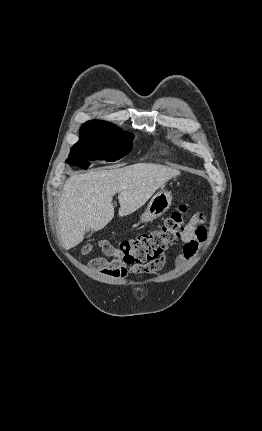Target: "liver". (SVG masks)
I'll return each instance as SVG.
<instances>
[{
  "label": "liver",
  "mask_w": 262,
  "mask_h": 431,
  "mask_svg": "<svg viewBox=\"0 0 262 431\" xmlns=\"http://www.w3.org/2000/svg\"><path fill=\"white\" fill-rule=\"evenodd\" d=\"M180 171L153 163L72 175L59 201V233L65 249L83 241L86 229H103L114 217L113 196L118 193L119 216L129 215Z\"/></svg>",
  "instance_id": "obj_1"
}]
</instances>
